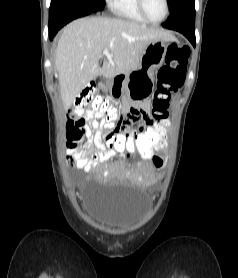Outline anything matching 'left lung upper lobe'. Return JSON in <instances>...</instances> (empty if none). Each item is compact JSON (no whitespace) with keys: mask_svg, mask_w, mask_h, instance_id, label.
<instances>
[{"mask_svg":"<svg viewBox=\"0 0 238 278\" xmlns=\"http://www.w3.org/2000/svg\"><path fill=\"white\" fill-rule=\"evenodd\" d=\"M182 1H183V0H169L171 12H173L174 9L176 8V6H177L178 4H180Z\"/></svg>","mask_w":238,"mask_h":278,"instance_id":"1","label":"left lung upper lobe"}]
</instances>
